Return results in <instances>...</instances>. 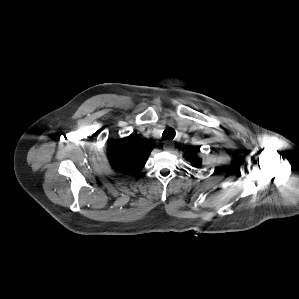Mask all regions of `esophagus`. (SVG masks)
I'll return each instance as SVG.
<instances>
[{"mask_svg": "<svg viewBox=\"0 0 299 299\" xmlns=\"http://www.w3.org/2000/svg\"><path fill=\"white\" fill-rule=\"evenodd\" d=\"M164 150L165 151H172L173 150V144L169 141H167L165 144H164Z\"/></svg>", "mask_w": 299, "mask_h": 299, "instance_id": "esophagus-1", "label": "esophagus"}]
</instances>
